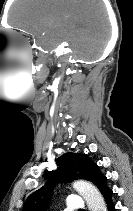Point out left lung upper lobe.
<instances>
[{
  "instance_id": "obj_1",
  "label": "left lung upper lobe",
  "mask_w": 133,
  "mask_h": 211,
  "mask_svg": "<svg viewBox=\"0 0 133 211\" xmlns=\"http://www.w3.org/2000/svg\"><path fill=\"white\" fill-rule=\"evenodd\" d=\"M56 164V170L46 171L48 178L46 184L28 197L22 211L47 210L56 183L70 182L79 178L91 181L100 192L107 187V178L86 154L68 152L60 156Z\"/></svg>"
}]
</instances>
